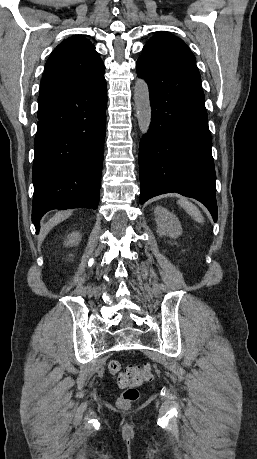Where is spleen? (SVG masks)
I'll return each instance as SVG.
<instances>
[{"mask_svg":"<svg viewBox=\"0 0 257 459\" xmlns=\"http://www.w3.org/2000/svg\"><path fill=\"white\" fill-rule=\"evenodd\" d=\"M178 204L184 208V210L198 223H203L204 218L198 209L193 203L189 202L185 198H180Z\"/></svg>","mask_w":257,"mask_h":459,"instance_id":"spleen-1","label":"spleen"}]
</instances>
